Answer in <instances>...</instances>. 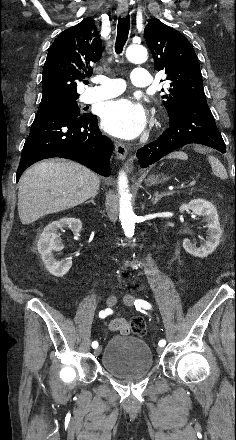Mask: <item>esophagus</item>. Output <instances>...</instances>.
I'll return each instance as SVG.
<instances>
[{
    "label": "esophagus",
    "mask_w": 236,
    "mask_h": 440,
    "mask_svg": "<svg viewBox=\"0 0 236 440\" xmlns=\"http://www.w3.org/2000/svg\"><path fill=\"white\" fill-rule=\"evenodd\" d=\"M118 14L125 17L128 14V4L127 3H120L118 5ZM115 152L117 155V158L120 160H124L127 157V148L122 143H115ZM134 168V161L133 158H129L126 162V169L127 171H132Z\"/></svg>",
    "instance_id": "esophagus-1"
}]
</instances>
